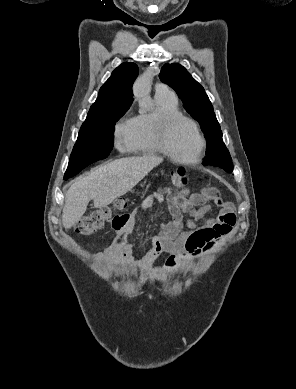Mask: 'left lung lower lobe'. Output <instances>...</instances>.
<instances>
[{
	"label": "left lung lower lobe",
	"mask_w": 296,
	"mask_h": 389,
	"mask_svg": "<svg viewBox=\"0 0 296 389\" xmlns=\"http://www.w3.org/2000/svg\"><path fill=\"white\" fill-rule=\"evenodd\" d=\"M222 155L229 156V151L227 150L226 146L223 147V149L220 151Z\"/></svg>",
	"instance_id": "0a47b994"
}]
</instances>
